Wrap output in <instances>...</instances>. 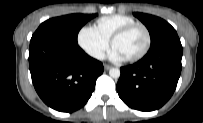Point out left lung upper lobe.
Segmentation results:
<instances>
[{
    "mask_svg": "<svg viewBox=\"0 0 203 123\" xmlns=\"http://www.w3.org/2000/svg\"><path fill=\"white\" fill-rule=\"evenodd\" d=\"M148 29L151 37V48L149 51L164 46L168 43L180 41L175 29L165 20L144 13H134Z\"/></svg>",
    "mask_w": 203,
    "mask_h": 123,
    "instance_id": "obj_1",
    "label": "left lung upper lobe"
}]
</instances>
